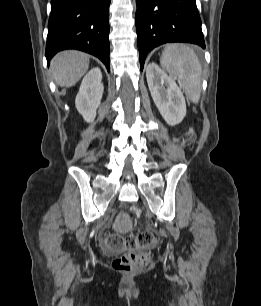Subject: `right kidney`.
<instances>
[{
	"label": "right kidney",
	"instance_id": "obj_1",
	"mask_svg": "<svg viewBox=\"0 0 261 306\" xmlns=\"http://www.w3.org/2000/svg\"><path fill=\"white\" fill-rule=\"evenodd\" d=\"M102 73L98 67L91 69L83 78L75 105L85 121L92 122L100 105L104 87Z\"/></svg>",
	"mask_w": 261,
	"mask_h": 306
}]
</instances>
